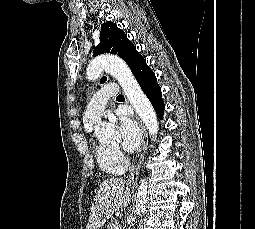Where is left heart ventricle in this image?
Listing matches in <instances>:
<instances>
[{"label": "left heart ventricle", "mask_w": 255, "mask_h": 229, "mask_svg": "<svg viewBox=\"0 0 255 229\" xmlns=\"http://www.w3.org/2000/svg\"><path fill=\"white\" fill-rule=\"evenodd\" d=\"M117 146V143H114L111 145V147H116Z\"/></svg>", "instance_id": "1"}]
</instances>
